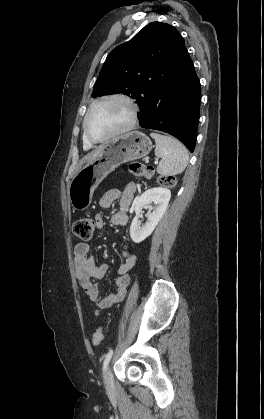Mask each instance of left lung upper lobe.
Listing matches in <instances>:
<instances>
[{
    "label": "left lung upper lobe",
    "instance_id": "5c2ea615",
    "mask_svg": "<svg viewBox=\"0 0 264 419\" xmlns=\"http://www.w3.org/2000/svg\"><path fill=\"white\" fill-rule=\"evenodd\" d=\"M182 40L169 24H148L108 54L92 96L123 93L136 99L141 109L151 85L172 71Z\"/></svg>",
    "mask_w": 264,
    "mask_h": 419
}]
</instances>
